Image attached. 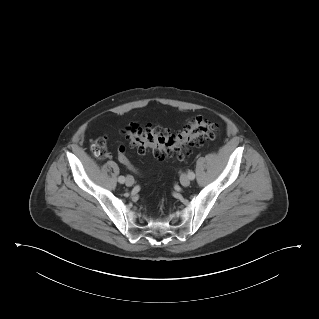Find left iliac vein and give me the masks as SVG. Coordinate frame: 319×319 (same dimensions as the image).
<instances>
[{
    "label": "left iliac vein",
    "mask_w": 319,
    "mask_h": 319,
    "mask_svg": "<svg viewBox=\"0 0 319 319\" xmlns=\"http://www.w3.org/2000/svg\"><path fill=\"white\" fill-rule=\"evenodd\" d=\"M180 182L181 184L184 186V187H187L189 186L190 184V179L189 177L187 176V174L183 173L180 177Z\"/></svg>",
    "instance_id": "left-iliac-vein-1"
}]
</instances>
